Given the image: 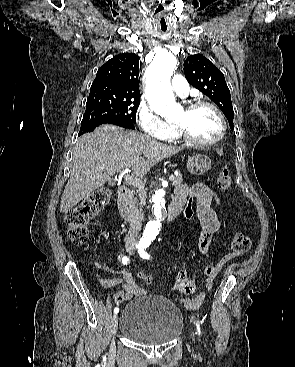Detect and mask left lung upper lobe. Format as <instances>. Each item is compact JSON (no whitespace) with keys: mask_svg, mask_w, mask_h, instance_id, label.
Wrapping results in <instances>:
<instances>
[{"mask_svg":"<svg viewBox=\"0 0 295 367\" xmlns=\"http://www.w3.org/2000/svg\"><path fill=\"white\" fill-rule=\"evenodd\" d=\"M188 82L209 97L226 116L231 130L234 129V111L230 90L223 73L203 55H190L184 63Z\"/></svg>","mask_w":295,"mask_h":367,"instance_id":"5c2ea615","label":"left lung upper lobe"}]
</instances>
